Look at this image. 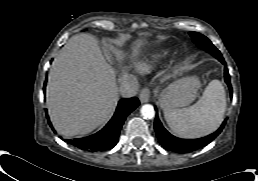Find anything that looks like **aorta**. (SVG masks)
Listing matches in <instances>:
<instances>
[{
    "instance_id": "762f6f07",
    "label": "aorta",
    "mask_w": 258,
    "mask_h": 181,
    "mask_svg": "<svg viewBox=\"0 0 258 181\" xmlns=\"http://www.w3.org/2000/svg\"><path fill=\"white\" fill-rule=\"evenodd\" d=\"M141 115L145 119H152L155 116V110L154 107L150 104H145L141 107Z\"/></svg>"
}]
</instances>
